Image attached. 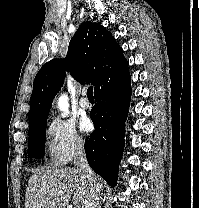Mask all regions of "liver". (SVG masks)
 Returning a JSON list of instances; mask_svg holds the SVG:
<instances>
[{"label":"liver","instance_id":"liver-1","mask_svg":"<svg viewBox=\"0 0 199 208\" xmlns=\"http://www.w3.org/2000/svg\"><path fill=\"white\" fill-rule=\"evenodd\" d=\"M103 191L104 181L96 176ZM72 197L75 208H84L90 198V185L76 168L37 169L28 181L26 208H65Z\"/></svg>","mask_w":199,"mask_h":208}]
</instances>
